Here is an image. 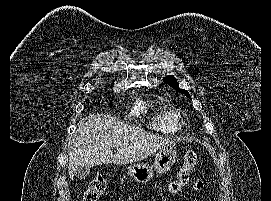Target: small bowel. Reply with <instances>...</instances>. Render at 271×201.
<instances>
[{
  "mask_svg": "<svg viewBox=\"0 0 271 201\" xmlns=\"http://www.w3.org/2000/svg\"><path fill=\"white\" fill-rule=\"evenodd\" d=\"M194 187L196 189H201L203 187V181L201 179H196L194 181Z\"/></svg>",
  "mask_w": 271,
  "mask_h": 201,
  "instance_id": "c3829d8e",
  "label": "small bowel"
}]
</instances>
